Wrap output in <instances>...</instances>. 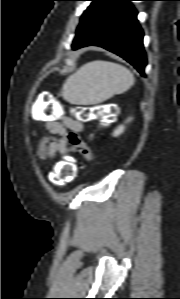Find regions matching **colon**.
I'll return each instance as SVG.
<instances>
[{
    "label": "colon",
    "instance_id": "colon-1",
    "mask_svg": "<svg viewBox=\"0 0 180 299\" xmlns=\"http://www.w3.org/2000/svg\"><path fill=\"white\" fill-rule=\"evenodd\" d=\"M75 114L78 119L82 121H91L105 116L106 112L104 110V106L102 105L77 106L75 108ZM44 115L48 118H58L60 116V113L57 110L56 105L51 104L45 110ZM113 116V114L109 115V117ZM77 173L78 168L73 162L69 160H60L48 173L47 178L51 183L57 186H63L73 181L76 178Z\"/></svg>",
    "mask_w": 180,
    "mask_h": 299
}]
</instances>
